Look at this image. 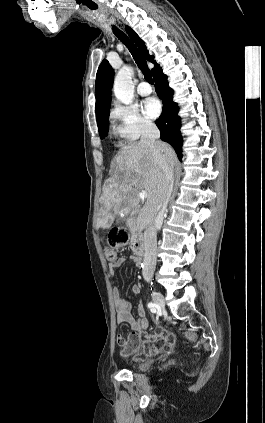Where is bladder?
<instances>
[{
  "label": "bladder",
  "instance_id": "obj_1",
  "mask_svg": "<svg viewBox=\"0 0 265 423\" xmlns=\"http://www.w3.org/2000/svg\"><path fill=\"white\" fill-rule=\"evenodd\" d=\"M153 360L143 359L137 365L136 368L139 370H146L151 367Z\"/></svg>",
  "mask_w": 265,
  "mask_h": 423
}]
</instances>
